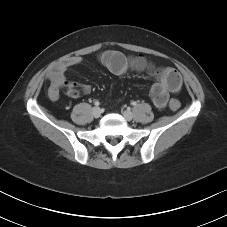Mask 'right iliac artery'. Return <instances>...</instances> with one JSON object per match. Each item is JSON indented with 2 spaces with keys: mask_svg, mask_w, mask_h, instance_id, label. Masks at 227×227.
I'll return each mask as SVG.
<instances>
[{
  "mask_svg": "<svg viewBox=\"0 0 227 227\" xmlns=\"http://www.w3.org/2000/svg\"><path fill=\"white\" fill-rule=\"evenodd\" d=\"M94 105H95V106H99L100 103H99L98 101H96V102L94 103Z\"/></svg>",
  "mask_w": 227,
  "mask_h": 227,
  "instance_id": "obj_1",
  "label": "right iliac artery"
}]
</instances>
